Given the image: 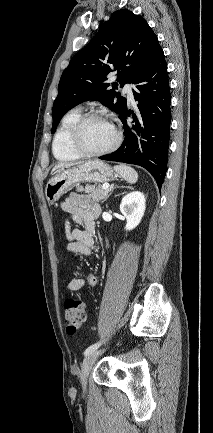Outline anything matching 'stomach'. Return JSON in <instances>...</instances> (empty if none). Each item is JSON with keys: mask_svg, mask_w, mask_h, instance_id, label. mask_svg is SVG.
Segmentation results:
<instances>
[{"mask_svg": "<svg viewBox=\"0 0 213 433\" xmlns=\"http://www.w3.org/2000/svg\"><path fill=\"white\" fill-rule=\"evenodd\" d=\"M117 176L118 174L103 161H89L51 178L46 185L45 196L48 203L52 204L81 182L103 183L112 181Z\"/></svg>", "mask_w": 213, "mask_h": 433, "instance_id": "stomach-1", "label": "stomach"}]
</instances>
